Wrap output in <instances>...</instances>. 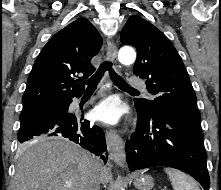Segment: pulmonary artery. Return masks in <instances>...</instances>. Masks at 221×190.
<instances>
[{"label":"pulmonary artery","mask_w":221,"mask_h":190,"mask_svg":"<svg viewBox=\"0 0 221 190\" xmlns=\"http://www.w3.org/2000/svg\"><path fill=\"white\" fill-rule=\"evenodd\" d=\"M128 84L134 88H143L145 86L144 81L136 76H131L128 79Z\"/></svg>","instance_id":"e3ab8cb5"}]
</instances>
